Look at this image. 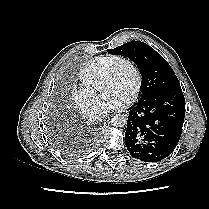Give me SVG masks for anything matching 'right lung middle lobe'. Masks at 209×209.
Returning a JSON list of instances; mask_svg holds the SVG:
<instances>
[{
    "instance_id": "dd1d6c3e",
    "label": "right lung middle lobe",
    "mask_w": 209,
    "mask_h": 209,
    "mask_svg": "<svg viewBox=\"0 0 209 209\" xmlns=\"http://www.w3.org/2000/svg\"><path fill=\"white\" fill-rule=\"evenodd\" d=\"M54 142L55 145L64 153L78 154V153H82L85 150V148L83 147L72 145L71 143H69L68 140H66V138L62 136L56 137L54 139Z\"/></svg>"
}]
</instances>
